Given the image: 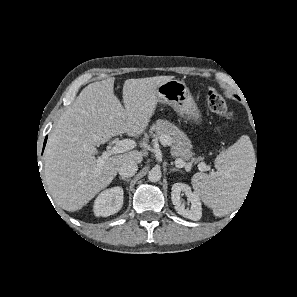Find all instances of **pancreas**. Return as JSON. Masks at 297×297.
Instances as JSON below:
<instances>
[{
	"label": "pancreas",
	"instance_id": "pancreas-1",
	"mask_svg": "<svg viewBox=\"0 0 297 297\" xmlns=\"http://www.w3.org/2000/svg\"><path fill=\"white\" fill-rule=\"evenodd\" d=\"M155 132L157 137L167 135L170 141L171 154L174 157H181L184 160H189L194 153L191 151L192 144L188 136L181 131L176 125L167 120L158 119L150 128V133ZM201 159H197L199 162Z\"/></svg>",
	"mask_w": 297,
	"mask_h": 297
}]
</instances>
